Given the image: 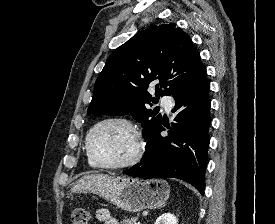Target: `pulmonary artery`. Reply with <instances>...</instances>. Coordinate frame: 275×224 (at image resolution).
Segmentation results:
<instances>
[{
    "mask_svg": "<svg viewBox=\"0 0 275 224\" xmlns=\"http://www.w3.org/2000/svg\"><path fill=\"white\" fill-rule=\"evenodd\" d=\"M161 105L167 110L170 111L172 107V99L167 95H163L161 98Z\"/></svg>",
    "mask_w": 275,
    "mask_h": 224,
    "instance_id": "obj_1",
    "label": "pulmonary artery"
}]
</instances>
